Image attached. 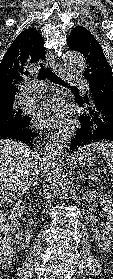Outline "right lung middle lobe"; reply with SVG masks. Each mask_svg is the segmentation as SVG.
<instances>
[{
    "label": "right lung middle lobe",
    "mask_w": 113,
    "mask_h": 279,
    "mask_svg": "<svg viewBox=\"0 0 113 279\" xmlns=\"http://www.w3.org/2000/svg\"><path fill=\"white\" fill-rule=\"evenodd\" d=\"M23 111L18 109L14 103L0 108V127L19 124L25 120Z\"/></svg>",
    "instance_id": "1"
}]
</instances>
